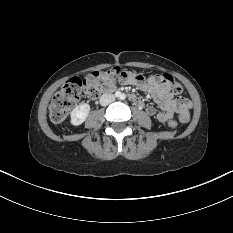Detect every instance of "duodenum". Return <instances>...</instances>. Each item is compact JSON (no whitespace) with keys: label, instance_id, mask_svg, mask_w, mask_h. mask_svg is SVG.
Wrapping results in <instances>:
<instances>
[{"label":"duodenum","instance_id":"1","mask_svg":"<svg viewBox=\"0 0 233 233\" xmlns=\"http://www.w3.org/2000/svg\"><path fill=\"white\" fill-rule=\"evenodd\" d=\"M129 98L135 102L136 104H140V101L138 100V98L134 95V94H129Z\"/></svg>","mask_w":233,"mask_h":233}]
</instances>
